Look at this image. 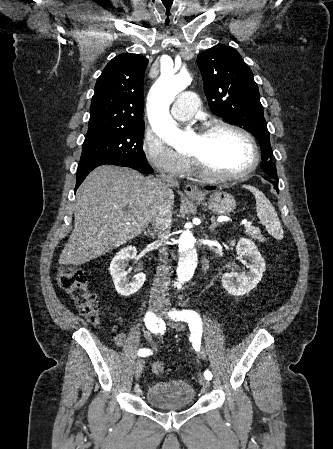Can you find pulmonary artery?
Segmentation results:
<instances>
[{
	"label": "pulmonary artery",
	"instance_id": "1",
	"mask_svg": "<svg viewBox=\"0 0 333 449\" xmlns=\"http://www.w3.org/2000/svg\"><path fill=\"white\" fill-rule=\"evenodd\" d=\"M198 107V97L192 91H186L178 95L176 101L172 105V116L181 121L190 119L196 112Z\"/></svg>",
	"mask_w": 333,
	"mask_h": 449
}]
</instances>
